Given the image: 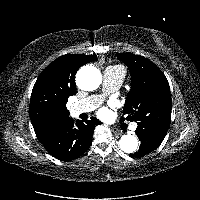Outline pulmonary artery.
<instances>
[{"label": "pulmonary artery", "instance_id": "1", "mask_svg": "<svg viewBox=\"0 0 200 200\" xmlns=\"http://www.w3.org/2000/svg\"><path fill=\"white\" fill-rule=\"evenodd\" d=\"M124 75H125L124 71L107 67L103 72L104 92L111 93L118 90L123 83ZM102 98H103L102 95H93L81 101L75 102L72 105V112L75 115L91 112L100 105ZM136 126H137L136 124H133L132 129H135Z\"/></svg>", "mask_w": 200, "mask_h": 200}]
</instances>
